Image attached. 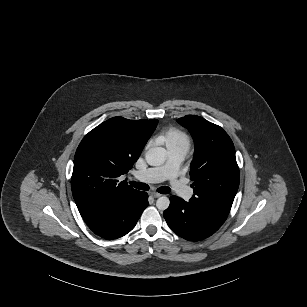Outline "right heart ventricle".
Instances as JSON below:
<instances>
[{
	"instance_id": "obj_1",
	"label": "right heart ventricle",
	"mask_w": 307,
	"mask_h": 307,
	"mask_svg": "<svg viewBox=\"0 0 307 307\" xmlns=\"http://www.w3.org/2000/svg\"><path fill=\"white\" fill-rule=\"evenodd\" d=\"M159 138L165 142L166 147L169 150L189 149V138L178 131L170 130L159 134Z\"/></svg>"
}]
</instances>
